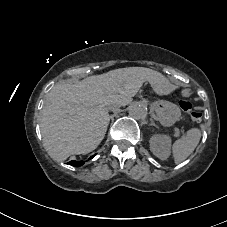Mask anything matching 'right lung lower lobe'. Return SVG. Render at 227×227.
I'll return each mask as SVG.
<instances>
[{"mask_svg":"<svg viewBox=\"0 0 227 227\" xmlns=\"http://www.w3.org/2000/svg\"><path fill=\"white\" fill-rule=\"evenodd\" d=\"M95 155L90 157V159L93 158ZM68 164L71 165V166H74V167H79V166H82L84 164V161H74V160H72Z\"/></svg>","mask_w":227,"mask_h":227,"instance_id":"98d812e1","label":"right lung lower lobe"}]
</instances>
